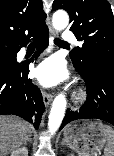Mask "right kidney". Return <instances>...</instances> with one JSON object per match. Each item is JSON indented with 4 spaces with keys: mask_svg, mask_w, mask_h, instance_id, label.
Returning a JSON list of instances; mask_svg holds the SVG:
<instances>
[{
    "mask_svg": "<svg viewBox=\"0 0 114 156\" xmlns=\"http://www.w3.org/2000/svg\"><path fill=\"white\" fill-rule=\"evenodd\" d=\"M10 156H28V149L26 147H21L13 151Z\"/></svg>",
    "mask_w": 114,
    "mask_h": 156,
    "instance_id": "ca27d5eb",
    "label": "right kidney"
}]
</instances>
